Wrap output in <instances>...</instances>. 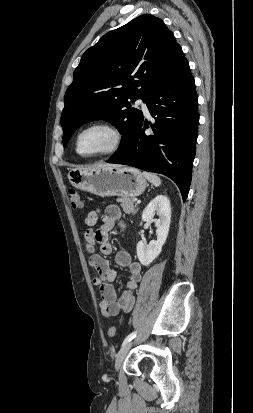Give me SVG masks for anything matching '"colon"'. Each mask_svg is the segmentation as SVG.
Returning <instances> with one entry per match:
<instances>
[{
    "label": "colon",
    "mask_w": 253,
    "mask_h": 413,
    "mask_svg": "<svg viewBox=\"0 0 253 413\" xmlns=\"http://www.w3.org/2000/svg\"><path fill=\"white\" fill-rule=\"evenodd\" d=\"M68 197L71 203V206L74 209H81L83 207V200L81 196L78 194V192L74 188H69L68 190ZM108 336L109 337H114L117 333V329L115 326H110L108 328Z\"/></svg>",
    "instance_id": "colon-1"
}]
</instances>
